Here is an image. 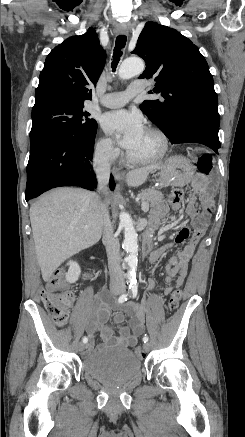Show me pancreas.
<instances>
[{"mask_svg": "<svg viewBox=\"0 0 245 437\" xmlns=\"http://www.w3.org/2000/svg\"><path fill=\"white\" fill-rule=\"evenodd\" d=\"M139 196L141 197V203H145L151 208H154L163 199L162 193L154 188L142 190Z\"/></svg>", "mask_w": 245, "mask_h": 437, "instance_id": "1", "label": "pancreas"}]
</instances>
